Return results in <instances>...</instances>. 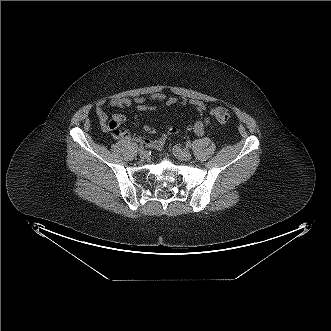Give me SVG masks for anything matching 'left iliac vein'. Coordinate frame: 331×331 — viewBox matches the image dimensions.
Here are the masks:
<instances>
[{
	"label": "left iliac vein",
	"mask_w": 331,
	"mask_h": 331,
	"mask_svg": "<svg viewBox=\"0 0 331 331\" xmlns=\"http://www.w3.org/2000/svg\"><path fill=\"white\" fill-rule=\"evenodd\" d=\"M173 151V154L179 158L180 160H184V161H190L192 159V155L191 153L186 150V149H183L181 148L180 146L178 145H175L172 149Z\"/></svg>",
	"instance_id": "obj_1"
}]
</instances>
